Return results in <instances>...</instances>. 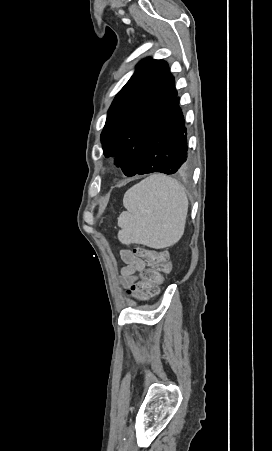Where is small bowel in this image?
I'll list each match as a JSON object with an SVG mask.
<instances>
[{
  "label": "small bowel",
  "instance_id": "c3829d8e",
  "mask_svg": "<svg viewBox=\"0 0 272 451\" xmlns=\"http://www.w3.org/2000/svg\"><path fill=\"white\" fill-rule=\"evenodd\" d=\"M134 251L130 249H123L120 252V257L122 261L125 263V266L121 270L122 275V283L125 286H130L133 282V274L136 271L142 270L145 266L142 260H135L133 258Z\"/></svg>",
  "mask_w": 272,
  "mask_h": 451
}]
</instances>
